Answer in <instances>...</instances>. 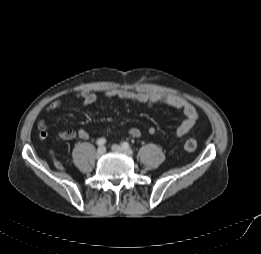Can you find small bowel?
Listing matches in <instances>:
<instances>
[{"label": "small bowel", "instance_id": "c3829d8e", "mask_svg": "<svg viewBox=\"0 0 261 254\" xmlns=\"http://www.w3.org/2000/svg\"><path fill=\"white\" fill-rule=\"evenodd\" d=\"M105 95L109 98L129 100L147 105L164 103L175 109L181 110L185 118L177 128L176 135L178 138H182L187 135L198 121V113L195 107L189 101L177 95L152 91L133 92L123 89L109 90L105 93ZM76 97L82 101L83 107H88L98 100L97 94L87 91L78 92L76 94ZM63 105L64 103L62 100H54L47 106L46 110L49 112L57 111L61 109ZM38 130L40 133V138L42 140H45L48 137L47 124L45 121H40L38 123ZM148 133L150 135H153L155 133V128L150 127L148 129ZM128 134L131 137L138 138L141 136V131L137 128H131L128 130ZM58 136L60 139L63 140H73L76 137L83 140H87L89 138V134L83 129H66L59 132ZM50 154L55 163L58 162L54 157V152L51 151Z\"/></svg>", "mask_w": 261, "mask_h": 254}]
</instances>
